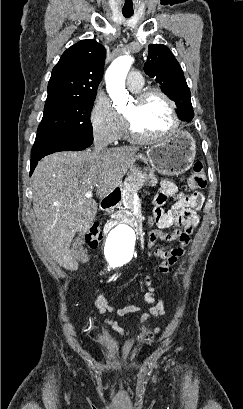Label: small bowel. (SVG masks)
I'll use <instances>...</instances> for the list:
<instances>
[{
  "mask_svg": "<svg viewBox=\"0 0 243 409\" xmlns=\"http://www.w3.org/2000/svg\"><path fill=\"white\" fill-rule=\"evenodd\" d=\"M177 186L168 180L161 183L160 190L154 199L153 217L159 230H156L150 235V247L157 240H164L167 242L177 241L174 247L157 248L150 250L148 255L150 258L160 259L159 271L167 274L172 272L173 265H175L180 257L185 252V246L189 242L193 229L199 224V216L196 211L199 210L203 203L202 193L195 192L189 195H180L174 205L168 209H164V205L168 198L177 194ZM176 226L177 229L173 232L166 233L162 230ZM144 284L148 289L144 299L151 304L149 313L143 314L140 318L141 323L157 321L164 314V303L157 297L156 290L151 285V278L146 271L144 274ZM95 307L99 313L105 311L112 312L118 316H124L128 313H134L141 310L135 305H127L124 307L109 306L106 299L99 295L95 300ZM113 330L123 336H127L129 332L125 331L116 320L106 319ZM159 327H154L148 331V335H155L159 332Z\"/></svg>",
  "mask_w": 243,
  "mask_h": 409,
  "instance_id": "obj_1",
  "label": "small bowel"
}]
</instances>
